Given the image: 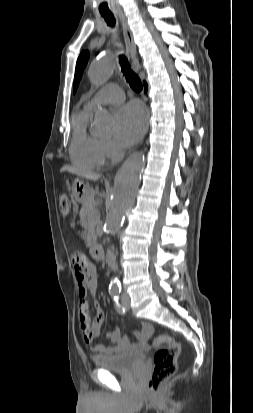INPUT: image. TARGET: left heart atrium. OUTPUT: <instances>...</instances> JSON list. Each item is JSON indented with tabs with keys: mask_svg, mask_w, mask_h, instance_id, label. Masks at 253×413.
Wrapping results in <instances>:
<instances>
[{
	"mask_svg": "<svg viewBox=\"0 0 253 413\" xmlns=\"http://www.w3.org/2000/svg\"><path fill=\"white\" fill-rule=\"evenodd\" d=\"M146 128V113L136 102L124 105L117 112L115 137L119 144L128 146L135 143Z\"/></svg>",
	"mask_w": 253,
	"mask_h": 413,
	"instance_id": "left-heart-atrium-1",
	"label": "left heart atrium"
}]
</instances>
